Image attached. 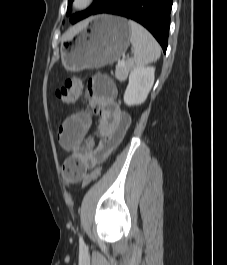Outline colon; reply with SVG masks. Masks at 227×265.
Segmentation results:
<instances>
[{"label": "colon", "mask_w": 227, "mask_h": 265, "mask_svg": "<svg viewBox=\"0 0 227 265\" xmlns=\"http://www.w3.org/2000/svg\"><path fill=\"white\" fill-rule=\"evenodd\" d=\"M82 92V83L77 77L68 78L64 85L56 91V96L65 104L74 103ZM82 166V158L79 154L70 155L63 164V173L68 180L74 178V173ZM101 167L92 170L83 180V187L96 181L101 174Z\"/></svg>", "instance_id": "obj_1"}]
</instances>
